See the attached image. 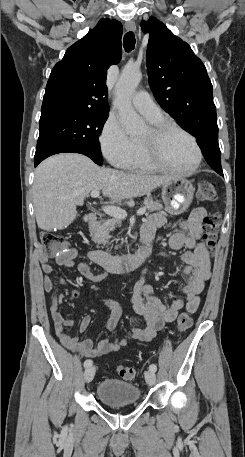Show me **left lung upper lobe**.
<instances>
[{
    "label": "left lung upper lobe",
    "instance_id": "1",
    "mask_svg": "<svg viewBox=\"0 0 245 457\" xmlns=\"http://www.w3.org/2000/svg\"><path fill=\"white\" fill-rule=\"evenodd\" d=\"M149 32L146 65L149 84L161 107L191 134L217 125L213 88L190 46L156 18L142 22Z\"/></svg>",
    "mask_w": 245,
    "mask_h": 457
}]
</instances>
